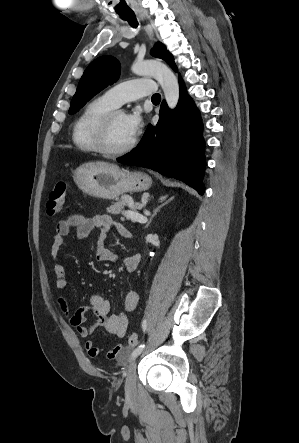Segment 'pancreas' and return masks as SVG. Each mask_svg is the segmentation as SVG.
<instances>
[{"label": "pancreas", "instance_id": "obj_1", "mask_svg": "<svg viewBox=\"0 0 299 443\" xmlns=\"http://www.w3.org/2000/svg\"><path fill=\"white\" fill-rule=\"evenodd\" d=\"M126 206L130 207L135 213H138V209L140 208V204H134L133 199L130 196L123 195L121 198H116L115 202H113L107 208V212L113 215L123 214L127 219H129L125 214L126 211L124 210Z\"/></svg>", "mask_w": 299, "mask_h": 443}]
</instances>
